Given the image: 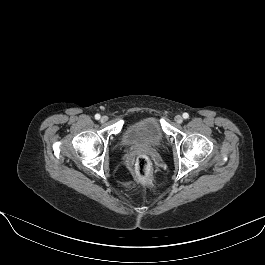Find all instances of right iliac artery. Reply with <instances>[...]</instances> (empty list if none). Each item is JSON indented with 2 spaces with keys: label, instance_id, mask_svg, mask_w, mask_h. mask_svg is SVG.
<instances>
[{
  "label": "right iliac artery",
  "instance_id": "82829eb1",
  "mask_svg": "<svg viewBox=\"0 0 265 265\" xmlns=\"http://www.w3.org/2000/svg\"><path fill=\"white\" fill-rule=\"evenodd\" d=\"M95 119H96V120H99V119H100V115H99V114H96V115H95Z\"/></svg>",
  "mask_w": 265,
  "mask_h": 265
}]
</instances>
